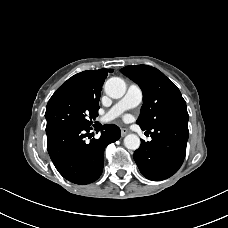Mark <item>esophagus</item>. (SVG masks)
<instances>
[{"label": "esophagus", "mask_w": 228, "mask_h": 228, "mask_svg": "<svg viewBox=\"0 0 228 228\" xmlns=\"http://www.w3.org/2000/svg\"><path fill=\"white\" fill-rule=\"evenodd\" d=\"M129 133V130L127 128H121V136L124 137Z\"/></svg>", "instance_id": "34e87169"}]
</instances>
